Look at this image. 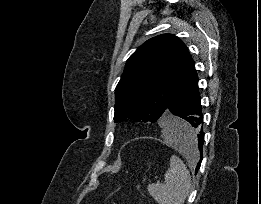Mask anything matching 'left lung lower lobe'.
Listing matches in <instances>:
<instances>
[{"label": "left lung lower lobe", "mask_w": 261, "mask_h": 204, "mask_svg": "<svg viewBox=\"0 0 261 204\" xmlns=\"http://www.w3.org/2000/svg\"><path fill=\"white\" fill-rule=\"evenodd\" d=\"M172 114L178 116L180 121H173ZM164 121L169 133L175 139L180 141L196 139L197 153L198 150L201 153L200 161L195 170L197 172L202 160L204 131L198 76L194 63L169 102ZM188 153L195 154V150L190 147Z\"/></svg>", "instance_id": "obj_1"}]
</instances>
